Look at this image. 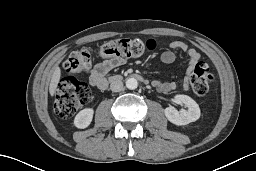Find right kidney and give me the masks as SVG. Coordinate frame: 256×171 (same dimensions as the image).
Returning a JSON list of instances; mask_svg holds the SVG:
<instances>
[{
    "label": "right kidney",
    "mask_w": 256,
    "mask_h": 171,
    "mask_svg": "<svg viewBox=\"0 0 256 171\" xmlns=\"http://www.w3.org/2000/svg\"><path fill=\"white\" fill-rule=\"evenodd\" d=\"M94 110L92 108H85L81 110L74 119V125L77 128L84 129L90 125L93 119Z\"/></svg>",
    "instance_id": "1"
}]
</instances>
